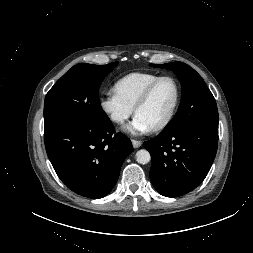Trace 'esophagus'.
Instances as JSON below:
<instances>
[{
    "instance_id": "obj_1",
    "label": "esophagus",
    "mask_w": 253,
    "mask_h": 253,
    "mask_svg": "<svg viewBox=\"0 0 253 253\" xmlns=\"http://www.w3.org/2000/svg\"><path fill=\"white\" fill-rule=\"evenodd\" d=\"M131 142L134 148H139L142 145V142L138 140L132 139Z\"/></svg>"
}]
</instances>
